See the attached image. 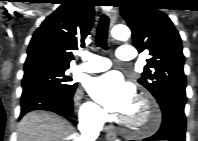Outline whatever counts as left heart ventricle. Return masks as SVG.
Returning a JSON list of instances; mask_svg holds the SVG:
<instances>
[{
  "instance_id": "b2bd125f",
  "label": "left heart ventricle",
  "mask_w": 198,
  "mask_h": 141,
  "mask_svg": "<svg viewBox=\"0 0 198 141\" xmlns=\"http://www.w3.org/2000/svg\"><path fill=\"white\" fill-rule=\"evenodd\" d=\"M133 122L142 123L144 121V112L141 107L133 106L132 110L127 115Z\"/></svg>"
}]
</instances>
